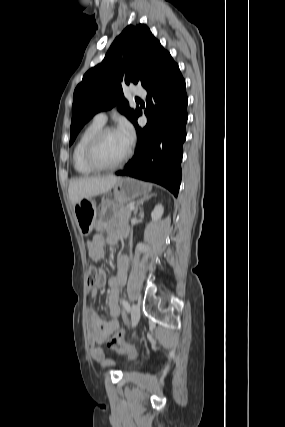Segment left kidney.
I'll return each instance as SVG.
<instances>
[{"label":"left kidney","instance_id":"1","mask_svg":"<svg viewBox=\"0 0 285 427\" xmlns=\"http://www.w3.org/2000/svg\"><path fill=\"white\" fill-rule=\"evenodd\" d=\"M163 212H164V208L161 204H158L157 206H155L153 212L151 213L152 220L158 221L162 217Z\"/></svg>","mask_w":285,"mask_h":427}]
</instances>
